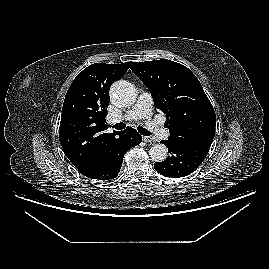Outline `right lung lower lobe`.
<instances>
[{
    "instance_id": "98d812e1",
    "label": "right lung lower lobe",
    "mask_w": 269,
    "mask_h": 269,
    "mask_svg": "<svg viewBox=\"0 0 269 269\" xmlns=\"http://www.w3.org/2000/svg\"><path fill=\"white\" fill-rule=\"evenodd\" d=\"M141 135L128 127L120 131L114 146L102 154L92 166L78 169L84 176L96 180H110L118 176L125 153L141 143Z\"/></svg>"
}]
</instances>
